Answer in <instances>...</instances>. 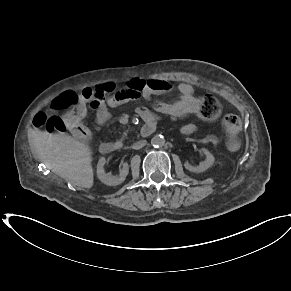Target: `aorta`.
<instances>
[{
	"label": "aorta",
	"mask_w": 291,
	"mask_h": 291,
	"mask_svg": "<svg viewBox=\"0 0 291 291\" xmlns=\"http://www.w3.org/2000/svg\"><path fill=\"white\" fill-rule=\"evenodd\" d=\"M151 144L154 147H161V146H163L165 144L164 136L161 135V134H155L153 136V138L151 139Z\"/></svg>",
	"instance_id": "obj_1"
}]
</instances>
